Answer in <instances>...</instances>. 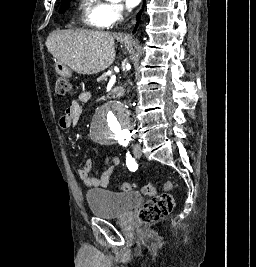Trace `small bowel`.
<instances>
[{"mask_svg":"<svg viewBox=\"0 0 256 267\" xmlns=\"http://www.w3.org/2000/svg\"><path fill=\"white\" fill-rule=\"evenodd\" d=\"M91 99L90 91H82L79 94L78 101H73L65 110L64 115L60 118L59 124L62 128H69L77 122L82 109L80 103H87ZM120 159L116 156H108L105 167L98 177L91 176L93 168L92 161L87 159L83 167L76 170L77 177L83 182L86 187H106L115 171L119 166Z\"/></svg>","mask_w":256,"mask_h":267,"instance_id":"obj_1","label":"small bowel"}]
</instances>
